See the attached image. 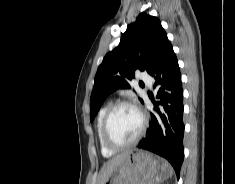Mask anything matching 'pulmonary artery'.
I'll return each instance as SVG.
<instances>
[{"instance_id": "1", "label": "pulmonary artery", "mask_w": 235, "mask_h": 184, "mask_svg": "<svg viewBox=\"0 0 235 184\" xmlns=\"http://www.w3.org/2000/svg\"><path fill=\"white\" fill-rule=\"evenodd\" d=\"M143 79L145 80V82L148 84V85H151L152 84V78L147 75V74H143Z\"/></svg>"}]
</instances>
